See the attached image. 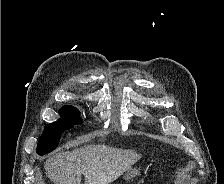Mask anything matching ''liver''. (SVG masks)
<instances>
[{
  "mask_svg": "<svg viewBox=\"0 0 224 184\" xmlns=\"http://www.w3.org/2000/svg\"><path fill=\"white\" fill-rule=\"evenodd\" d=\"M141 155L131 150L105 145H88L73 151L55 153L45 170L54 184H109L129 170Z\"/></svg>",
  "mask_w": 224,
  "mask_h": 184,
  "instance_id": "1",
  "label": "liver"
}]
</instances>
